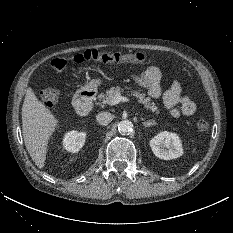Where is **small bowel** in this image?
Masks as SVG:
<instances>
[{
  "instance_id": "c3829d8e",
  "label": "small bowel",
  "mask_w": 233,
  "mask_h": 233,
  "mask_svg": "<svg viewBox=\"0 0 233 233\" xmlns=\"http://www.w3.org/2000/svg\"><path fill=\"white\" fill-rule=\"evenodd\" d=\"M134 81L147 89L148 96L157 99L163 95V102L172 116H191L196 111V104L182 93L178 81H173L170 88L162 94L161 71L156 66H149L139 75H132Z\"/></svg>"
}]
</instances>
